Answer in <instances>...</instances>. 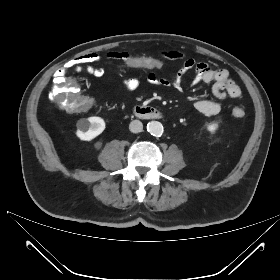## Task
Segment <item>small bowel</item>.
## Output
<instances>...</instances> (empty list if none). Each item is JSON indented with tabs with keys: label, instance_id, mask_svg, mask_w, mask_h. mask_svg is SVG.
Here are the masks:
<instances>
[{
	"label": "small bowel",
	"instance_id": "1",
	"mask_svg": "<svg viewBox=\"0 0 280 280\" xmlns=\"http://www.w3.org/2000/svg\"><path fill=\"white\" fill-rule=\"evenodd\" d=\"M108 56L112 59L120 60L123 57H128L127 53H110ZM163 60L183 61V67L180 72L171 77H160L155 73H148L145 77L146 82L154 86L181 88L183 76L195 70V75L192 80V85L200 83L211 84L212 94L215 99H199L195 102V108L200 113L212 116L220 112L222 104L221 100L230 97L233 99H241L242 92L239 86L230 77L226 69H216L203 62H195L192 58L186 57L183 53L177 50L163 51L159 57ZM99 56L95 53H87L77 58H74L66 63L58 72L65 73L68 71L85 69L87 72L97 75L102 72V68L98 66ZM138 68V67H137ZM142 80L140 77L133 76L122 81V85L127 89H135L140 86Z\"/></svg>",
	"mask_w": 280,
	"mask_h": 280
}]
</instances>
